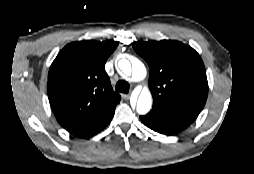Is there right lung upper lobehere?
<instances>
[{
  "mask_svg": "<svg viewBox=\"0 0 254 174\" xmlns=\"http://www.w3.org/2000/svg\"><path fill=\"white\" fill-rule=\"evenodd\" d=\"M117 46L115 41H79L58 53L49 69L47 91L63 128L69 129L120 102L104 68Z\"/></svg>",
  "mask_w": 254,
  "mask_h": 174,
  "instance_id": "1",
  "label": "right lung upper lobe"
}]
</instances>
